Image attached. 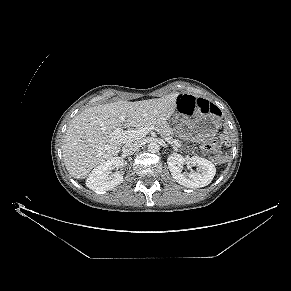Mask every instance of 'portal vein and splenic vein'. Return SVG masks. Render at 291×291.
I'll return each instance as SVG.
<instances>
[{
  "label": "portal vein and splenic vein",
  "instance_id": "18ae733b",
  "mask_svg": "<svg viewBox=\"0 0 291 291\" xmlns=\"http://www.w3.org/2000/svg\"><path fill=\"white\" fill-rule=\"evenodd\" d=\"M121 119L123 120L124 117H121ZM151 130H153V128L149 126H142L136 130L127 131H122L120 128H116L112 133V138L123 143L131 142L145 137L150 133ZM176 143L178 146H180L177 141H175V144Z\"/></svg>",
  "mask_w": 291,
  "mask_h": 291
}]
</instances>
